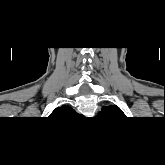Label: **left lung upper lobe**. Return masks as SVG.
I'll return each instance as SVG.
<instances>
[{
  "instance_id": "obj_1",
  "label": "left lung upper lobe",
  "mask_w": 165,
  "mask_h": 165,
  "mask_svg": "<svg viewBox=\"0 0 165 165\" xmlns=\"http://www.w3.org/2000/svg\"><path fill=\"white\" fill-rule=\"evenodd\" d=\"M100 113L117 115V116L124 115V113L122 112V110L118 106H112V105L107 106V107H103L102 111Z\"/></svg>"
}]
</instances>
